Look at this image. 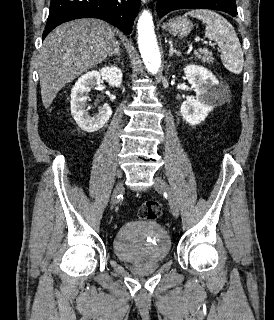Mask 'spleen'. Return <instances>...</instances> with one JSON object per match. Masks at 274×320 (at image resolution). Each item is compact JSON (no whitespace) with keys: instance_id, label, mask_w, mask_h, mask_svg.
Returning <instances> with one entry per match:
<instances>
[{"instance_id":"1","label":"spleen","mask_w":274,"mask_h":320,"mask_svg":"<svg viewBox=\"0 0 274 320\" xmlns=\"http://www.w3.org/2000/svg\"><path fill=\"white\" fill-rule=\"evenodd\" d=\"M185 16L202 20L207 24L205 38L214 40L221 48V60L224 68L232 74H241L244 66V56L238 36L231 24L220 14L211 10H191Z\"/></svg>"}]
</instances>
